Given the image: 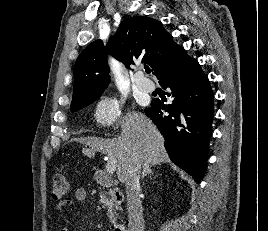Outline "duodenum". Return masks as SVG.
<instances>
[{"label":"duodenum","instance_id":"410a0bca","mask_svg":"<svg viewBox=\"0 0 268 231\" xmlns=\"http://www.w3.org/2000/svg\"><path fill=\"white\" fill-rule=\"evenodd\" d=\"M95 180L102 186L112 187L113 180L108 176V174L104 170H97L94 174ZM115 200H121L123 198V194L116 190L114 192ZM114 231H126V226L123 223H117L115 225Z\"/></svg>","mask_w":268,"mask_h":231}]
</instances>
